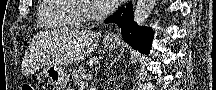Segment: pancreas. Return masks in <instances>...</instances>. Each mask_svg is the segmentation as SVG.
<instances>
[{
    "label": "pancreas",
    "mask_w": 216,
    "mask_h": 90,
    "mask_svg": "<svg viewBox=\"0 0 216 90\" xmlns=\"http://www.w3.org/2000/svg\"><path fill=\"white\" fill-rule=\"evenodd\" d=\"M84 76H86V70H84V68H78V70H74V72H72V82H74V84H78Z\"/></svg>",
    "instance_id": "1"
}]
</instances>
